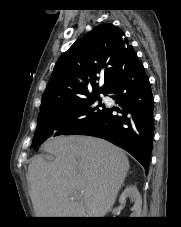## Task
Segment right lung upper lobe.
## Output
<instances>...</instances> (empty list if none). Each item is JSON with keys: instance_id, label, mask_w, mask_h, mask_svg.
Returning a JSON list of instances; mask_svg holds the SVG:
<instances>
[{"instance_id": "1", "label": "right lung upper lobe", "mask_w": 181, "mask_h": 227, "mask_svg": "<svg viewBox=\"0 0 181 227\" xmlns=\"http://www.w3.org/2000/svg\"><path fill=\"white\" fill-rule=\"evenodd\" d=\"M136 56L122 30L101 24L75 42L55 64L42 95L40 110L93 94L107 92ZM104 84L99 87V75Z\"/></svg>"}]
</instances>
